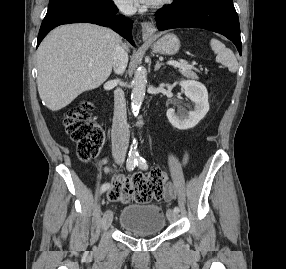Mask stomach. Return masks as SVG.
<instances>
[{
    "instance_id": "1",
    "label": "stomach",
    "mask_w": 286,
    "mask_h": 269,
    "mask_svg": "<svg viewBox=\"0 0 286 269\" xmlns=\"http://www.w3.org/2000/svg\"><path fill=\"white\" fill-rule=\"evenodd\" d=\"M149 41L152 44V49L163 55H174L180 48V40L172 33L166 34L159 39H151Z\"/></svg>"
}]
</instances>
